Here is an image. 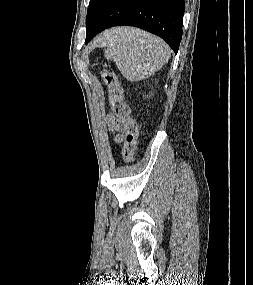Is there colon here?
Returning a JSON list of instances; mask_svg holds the SVG:
<instances>
[{"instance_id":"obj_1","label":"colon","mask_w":253,"mask_h":285,"mask_svg":"<svg viewBox=\"0 0 253 285\" xmlns=\"http://www.w3.org/2000/svg\"><path fill=\"white\" fill-rule=\"evenodd\" d=\"M102 77L113 92L111 99L112 111L115 117L124 123L125 144L123 159L126 163H130L134 159L137 147L138 125L131 116L130 107L124 101V90L118 77L109 70H103Z\"/></svg>"}]
</instances>
